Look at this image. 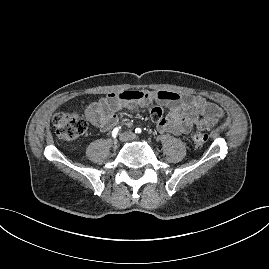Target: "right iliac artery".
Masks as SVG:
<instances>
[{"instance_id": "1", "label": "right iliac artery", "mask_w": 269, "mask_h": 269, "mask_svg": "<svg viewBox=\"0 0 269 269\" xmlns=\"http://www.w3.org/2000/svg\"><path fill=\"white\" fill-rule=\"evenodd\" d=\"M119 129H120V127H116V128L113 129V131H112V137L113 138H116V136H117V134L119 132Z\"/></svg>"}]
</instances>
